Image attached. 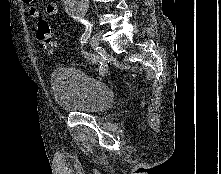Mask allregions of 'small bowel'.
<instances>
[{"mask_svg":"<svg viewBox=\"0 0 221 174\" xmlns=\"http://www.w3.org/2000/svg\"><path fill=\"white\" fill-rule=\"evenodd\" d=\"M28 5V13L32 18H39L41 13L39 8L33 3V0H24ZM47 15L53 16L56 15L59 11L58 5L56 3H49L45 9Z\"/></svg>","mask_w":221,"mask_h":174,"instance_id":"obj_1","label":"small bowel"}]
</instances>
